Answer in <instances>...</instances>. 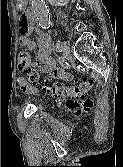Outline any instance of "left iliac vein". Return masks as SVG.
Instances as JSON below:
<instances>
[{
	"mask_svg": "<svg viewBox=\"0 0 123 167\" xmlns=\"http://www.w3.org/2000/svg\"><path fill=\"white\" fill-rule=\"evenodd\" d=\"M60 45H61V51H62V60H66V58L69 55V46L65 41H62Z\"/></svg>",
	"mask_w": 123,
	"mask_h": 167,
	"instance_id": "4c4485c4",
	"label": "left iliac vein"
}]
</instances>
